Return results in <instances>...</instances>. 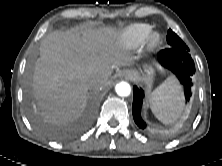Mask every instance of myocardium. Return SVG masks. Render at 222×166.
<instances>
[{"label":"myocardium","instance_id":"f54148a6","mask_svg":"<svg viewBox=\"0 0 222 166\" xmlns=\"http://www.w3.org/2000/svg\"><path fill=\"white\" fill-rule=\"evenodd\" d=\"M162 41V35L156 31H150L144 40V46L148 50L156 48Z\"/></svg>","mask_w":222,"mask_h":166}]
</instances>
